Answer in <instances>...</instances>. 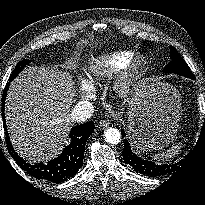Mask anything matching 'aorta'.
<instances>
[{
	"mask_svg": "<svg viewBox=\"0 0 205 205\" xmlns=\"http://www.w3.org/2000/svg\"><path fill=\"white\" fill-rule=\"evenodd\" d=\"M105 139L108 143L116 145L121 140V133L118 129L109 128L104 132Z\"/></svg>",
	"mask_w": 205,
	"mask_h": 205,
	"instance_id": "obj_1",
	"label": "aorta"
}]
</instances>
